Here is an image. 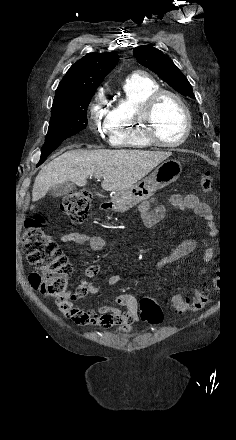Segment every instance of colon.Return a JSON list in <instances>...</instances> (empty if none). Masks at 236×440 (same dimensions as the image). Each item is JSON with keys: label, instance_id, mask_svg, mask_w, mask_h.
<instances>
[{"label": "colon", "instance_id": "5ec220e1", "mask_svg": "<svg viewBox=\"0 0 236 440\" xmlns=\"http://www.w3.org/2000/svg\"><path fill=\"white\" fill-rule=\"evenodd\" d=\"M200 187L205 192L212 189L209 169L202 172ZM90 202L91 195L88 191L71 192L63 198L62 210L73 223L79 224L86 219ZM43 224L44 218L41 215L33 216L25 222L22 236L23 251L28 263L36 269L30 274L29 281L34 289L55 299L60 311L66 313L72 302L67 284L73 268L56 241L42 229ZM223 280L224 275L218 274L217 279L213 281L216 283ZM208 300V290L199 289L190 298L175 296L171 301V307L180 314L191 313L202 309ZM139 309L143 321L152 325H158L163 321V311L154 299H141ZM80 322L76 323L80 324Z\"/></svg>", "mask_w": 236, "mask_h": 440}]
</instances>
